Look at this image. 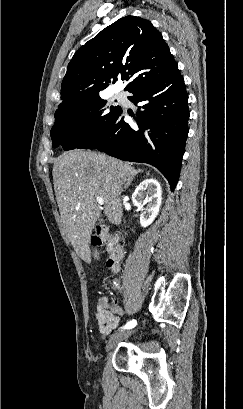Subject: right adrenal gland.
<instances>
[{
	"label": "right adrenal gland",
	"instance_id": "obj_1",
	"mask_svg": "<svg viewBox=\"0 0 243 409\" xmlns=\"http://www.w3.org/2000/svg\"><path fill=\"white\" fill-rule=\"evenodd\" d=\"M139 172H141V170H138V171H137V173H139ZM130 183H131V182L127 183V184L124 186V189L128 188V187L130 186Z\"/></svg>",
	"mask_w": 243,
	"mask_h": 409
}]
</instances>
